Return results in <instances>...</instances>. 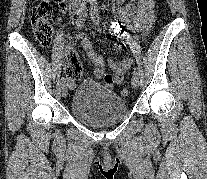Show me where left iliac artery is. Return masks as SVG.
Returning a JSON list of instances; mask_svg holds the SVG:
<instances>
[{
  "label": "left iliac artery",
  "instance_id": "44dca946",
  "mask_svg": "<svg viewBox=\"0 0 207 179\" xmlns=\"http://www.w3.org/2000/svg\"><path fill=\"white\" fill-rule=\"evenodd\" d=\"M91 18L92 20L98 24L99 23V14H98V7L95 5L93 8H92V11H91ZM134 74L135 75H138L139 72H138V69L137 68H134Z\"/></svg>",
  "mask_w": 207,
  "mask_h": 179
}]
</instances>
